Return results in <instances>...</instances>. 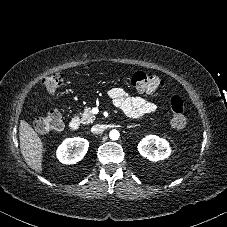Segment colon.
Segmentation results:
<instances>
[{
    "instance_id": "colon-1",
    "label": "colon",
    "mask_w": 227,
    "mask_h": 227,
    "mask_svg": "<svg viewBox=\"0 0 227 227\" xmlns=\"http://www.w3.org/2000/svg\"><path fill=\"white\" fill-rule=\"evenodd\" d=\"M125 77L130 84L139 92L153 94L160 90L163 80L155 75L142 71H127ZM61 73H53L47 76L42 84L47 92L55 93L62 84ZM170 109L172 112L171 125L174 129L181 130L187 125L184 105L179 96H172L170 99ZM62 115L58 110L50 111L46 116L35 121V128L38 132L49 133L55 132L62 128Z\"/></svg>"
}]
</instances>
